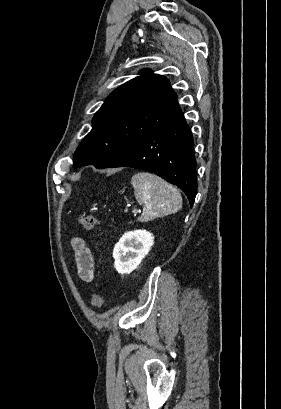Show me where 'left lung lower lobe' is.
<instances>
[{
    "mask_svg": "<svg viewBox=\"0 0 281 409\" xmlns=\"http://www.w3.org/2000/svg\"><path fill=\"white\" fill-rule=\"evenodd\" d=\"M193 137L181 109L168 121L136 141L103 168L132 167L155 173L177 185L193 206L196 192V160Z\"/></svg>",
    "mask_w": 281,
    "mask_h": 409,
    "instance_id": "obj_1",
    "label": "left lung lower lobe"
}]
</instances>
